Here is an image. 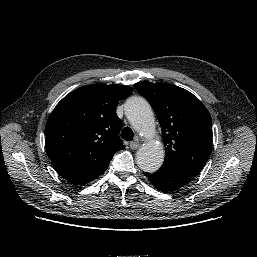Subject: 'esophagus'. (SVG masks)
I'll list each match as a JSON object with an SVG mask.
<instances>
[{
    "mask_svg": "<svg viewBox=\"0 0 257 257\" xmlns=\"http://www.w3.org/2000/svg\"><path fill=\"white\" fill-rule=\"evenodd\" d=\"M139 147V143L137 141L131 142L130 143V148L132 150H136Z\"/></svg>",
    "mask_w": 257,
    "mask_h": 257,
    "instance_id": "1",
    "label": "esophagus"
}]
</instances>
